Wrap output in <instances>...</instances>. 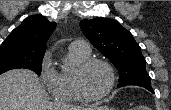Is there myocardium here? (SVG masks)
<instances>
[{
    "mask_svg": "<svg viewBox=\"0 0 171 110\" xmlns=\"http://www.w3.org/2000/svg\"><path fill=\"white\" fill-rule=\"evenodd\" d=\"M94 64H101L108 70L110 81L104 92L99 95L92 96L85 91L82 84V78L84 73ZM72 81L74 91L81 101L95 102L102 100L111 94L116 83V73L113 66L108 61L100 58H89L75 69Z\"/></svg>",
    "mask_w": 171,
    "mask_h": 110,
    "instance_id": "1",
    "label": "myocardium"
}]
</instances>
